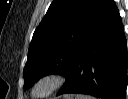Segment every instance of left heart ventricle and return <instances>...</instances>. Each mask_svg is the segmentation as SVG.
Returning <instances> with one entry per match:
<instances>
[{
	"label": "left heart ventricle",
	"instance_id": "left-heart-ventricle-1",
	"mask_svg": "<svg viewBox=\"0 0 128 99\" xmlns=\"http://www.w3.org/2000/svg\"><path fill=\"white\" fill-rule=\"evenodd\" d=\"M46 88H47L46 85H42V86H40V87L38 88V92H39V93H42V92H44V91L46 90Z\"/></svg>",
	"mask_w": 128,
	"mask_h": 99
}]
</instances>
